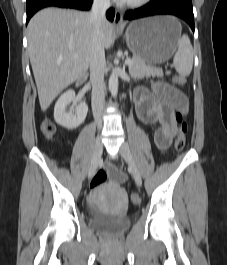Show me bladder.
I'll return each mask as SVG.
<instances>
[{
	"label": "bladder",
	"mask_w": 227,
	"mask_h": 265,
	"mask_svg": "<svg viewBox=\"0 0 227 265\" xmlns=\"http://www.w3.org/2000/svg\"><path fill=\"white\" fill-rule=\"evenodd\" d=\"M103 188V186L99 187L98 191H101ZM107 189H115V187L107 186ZM89 223L96 231L109 235L120 234L130 226V220L127 217H115L101 212H93Z\"/></svg>",
	"instance_id": "bladder-1"
}]
</instances>
